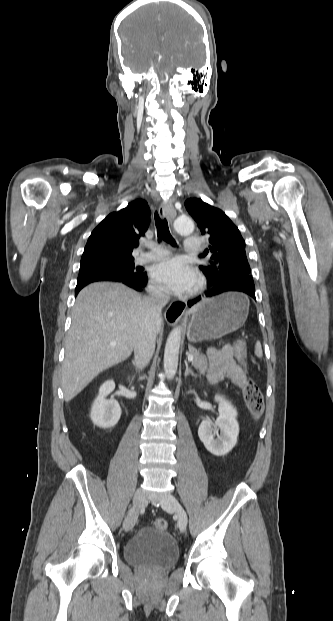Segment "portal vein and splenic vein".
<instances>
[{
    "label": "portal vein and splenic vein",
    "mask_w": 333,
    "mask_h": 621,
    "mask_svg": "<svg viewBox=\"0 0 333 621\" xmlns=\"http://www.w3.org/2000/svg\"><path fill=\"white\" fill-rule=\"evenodd\" d=\"M187 359H188V361L192 362L194 360V356L193 355H188Z\"/></svg>",
    "instance_id": "1"
}]
</instances>
